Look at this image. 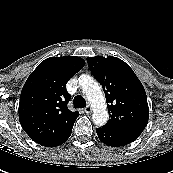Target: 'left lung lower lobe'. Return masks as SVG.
<instances>
[{"label":"left lung lower lobe","mask_w":173,"mask_h":173,"mask_svg":"<svg viewBox=\"0 0 173 173\" xmlns=\"http://www.w3.org/2000/svg\"><path fill=\"white\" fill-rule=\"evenodd\" d=\"M96 132L99 139L108 146H125L137 139L130 136L119 134L105 127L97 128Z\"/></svg>","instance_id":"obj_1"}]
</instances>
